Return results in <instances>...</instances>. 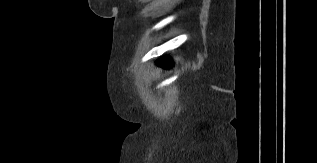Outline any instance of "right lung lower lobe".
Here are the masks:
<instances>
[{"label": "right lung lower lobe", "instance_id": "right-lung-lower-lobe-1", "mask_svg": "<svg viewBox=\"0 0 317 163\" xmlns=\"http://www.w3.org/2000/svg\"><path fill=\"white\" fill-rule=\"evenodd\" d=\"M159 65L162 66V67L167 68V67L171 66V60H170V59H167V58L162 59V60L159 62Z\"/></svg>", "mask_w": 317, "mask_h": 163}]
</instances>
